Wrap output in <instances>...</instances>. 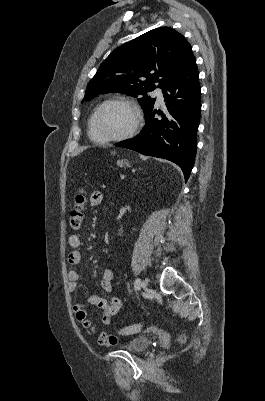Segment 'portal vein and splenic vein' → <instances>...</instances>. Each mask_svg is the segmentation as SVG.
I'll return each mask as SVG.
<instances>
[{
    "label": "portal vein and splenic vein",
    "mask_w": 265,
    "mask_h": 401,
    "mask_svg": "<svg viewBox=\"0 0 265 401\" xmlns=\"http://www.w3.org/2000/svg\"><path fill=\"white\" fill-rule=\"evenodd\" d=\"M119 180H120V181H124V180H125V177H124L123 175H120Z\"/></svg>",
    "instance_id": "18ae733b"
}]
</instances>
